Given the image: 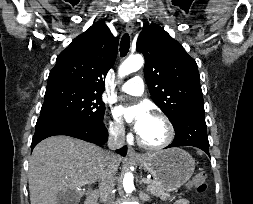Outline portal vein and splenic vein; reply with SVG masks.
I'll list each match as a JSON object with an SVG mask.
<instances>
[{"label":"portal vein and splenic vein","mask_w":253,"mask_h":204,"mask_svg":"<svg viewBox=\"0 0 253 204\" xmlns=\"http://www.w3.org/2000/svg\"><path fill=\"white\" fill-rule=\"evenodd\" d=\"M144 183L149 184L150 181L148 179L144 180Z\"/></svg>","instance_id":"obj_1"}]
</instances>
